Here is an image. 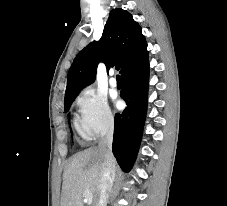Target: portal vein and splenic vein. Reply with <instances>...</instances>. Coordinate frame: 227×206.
I'll list each match as a JSON object with an SVG mask.
<instances>
[{"mask_svg": "<svg viewBox=\"0 0 227 206\" xmlns=\"http://www.w3.org/2000/svg\"><path fill=\"white\" fill-rule=\"evenodd\" d=\"M84 197L87 203H92L93 195L90 191L88 190L84 191Z\"/></svg>", "mask_w": 227, "mask_h": 206, "instance_id": "obj_1", "label": "portal vein and splenic vein"}]
</instances>
